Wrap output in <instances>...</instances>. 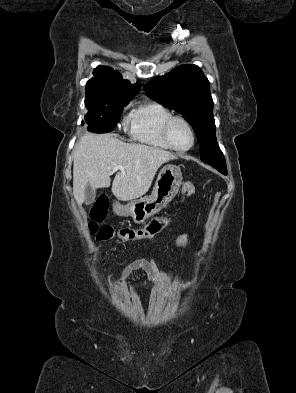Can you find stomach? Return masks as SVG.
<instances>
[{
  "label": "stomach",
  "mask_w": 296,
  "mask_h": 393,
  "mask_svg": "<svg viewBox=\"0 0 296 393\" xmlns=\"http://www.w3.org/2000/svg\"><path fill=\"white\" fill-rule=\"evenodd\" d=\"M182 184V173L175 165H165L158 174L152 194L129 202L116 204L115 213L119 216H131L135 223H143L175 197Z\"/></svg>",
  "instance_id": "0dacf381"
}]
</instances>
